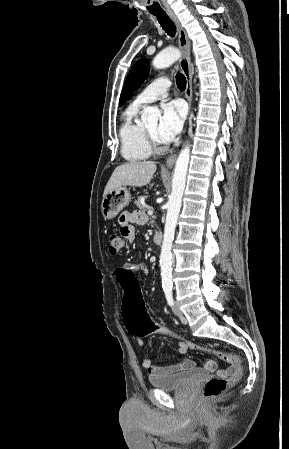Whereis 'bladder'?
I'll return each instance as SVG.
<instances>
[{"mask_svg": "<svg viewBox=\"0 0 289 449\" xmlns=\"http://www.w3.org/2000/svg\"><path fill=\"white\" fill-rule=\"evenodd\" d=\"M206 372L200 369L188 371L150 375L149 382L154 388L162 390H176L204 377Z\"/></svg>", "mask_w": 289, "mask_h": 449, "instance_id": "1", "label": "bladder"}]
</instances>
